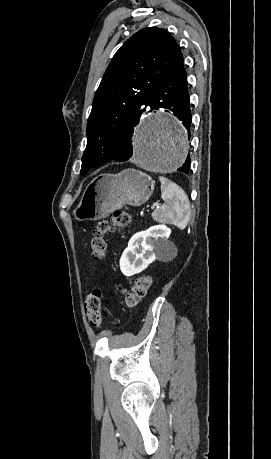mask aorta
<instances>
[{
	"instance_id": "aorta-1",
	"label": "aorta",
	"mask_w": 271,
	"mask_h": 459,
	"mask_svg": "<svg viewBox=\"0 0 271 459\" xmlns=\"http://www.w3.org/2000/svg\"><path fill=\"white\" fill-rule=\"evenodd\" d=\"M133 158L141 168L167 173L183 164L189 153L186 130L168 115L157 112L138 127L133 140Z\"/></svg>"
}]
</instances>
